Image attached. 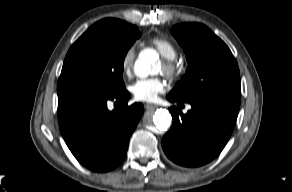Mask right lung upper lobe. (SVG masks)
I'll use <instances>...</instances> for the list:
<instances>
[{
	"mask_svg": "<svg viewBox=\"0 0 292 192\" xmlns=\"http://www.w3.org/2000/svg\"><path fill=\"white\" fill-rule=\"evenodd\" d=\"M124 22V21H123ZM125 24H127L128 26H133V25H130V24H128L127 22H124Z\"/></svg>",
	"mask_w": 292,
	"mask_h": 192,
	"instance_id": "1",
	"label": "right lung upper lobe"
}]
</instances>
